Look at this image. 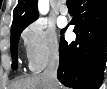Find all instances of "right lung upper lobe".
Returning a JSON list of instances; mask_svg holds the SVG:
<instances>
[{
	"instance_id": "right-lung-upper-lobe-1",
	"label": "right lung upper lobe",
	"mask_w": 107,
	"mask_h": 89,
	"mask_svg": "<svg viewBox=\"0 0 107 89\" xmlns=\"http://www.w3.org/2000/svg\"><path fill=\"white\" fill-rule=\"evenodd\" d=\"M37 18V0H18V4L13 11L11 28L31 23Z\"/></svg>"
}]
</instances>
